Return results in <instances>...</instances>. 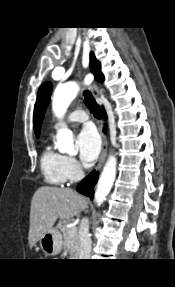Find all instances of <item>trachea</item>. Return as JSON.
<instances>
[{"label":"trachea","mask_w":175,"mask_h":287,"mask_svg":"<svg viewBox=\"0 0 175 287\" xmlns=\"http://www.w3.org/2000/svg\"><path fill=\"white\" fill-rule=\"evenodd\" d=\"M84 95V102L90 112L94 115L95 118L101 119V109L100 106L95 101L94 97L92 96L91 92L86 90L83 92Z\"/></svg>","instance_id":"1"}]
</instances>
